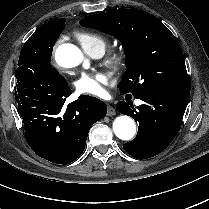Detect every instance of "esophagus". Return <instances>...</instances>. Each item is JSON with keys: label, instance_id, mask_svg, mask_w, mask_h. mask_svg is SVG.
Returning <instances> with one entry per match:
<instances>
[{"label": "esophagus", "instance_id": "obj_1", "mask_svg": "<svg viewBox=\"0 0 209 209\" xmlns=\"http://www.w3.org/2000/svg\"><path fill=\"white\" fill-rule=\"evenodd\" d=\"M115 114H116L115 108L108 104L107 115L108 116H113Z\"/></svg>", "mask_w": 209, "mask_h": 209}]
</instances>
